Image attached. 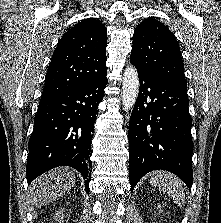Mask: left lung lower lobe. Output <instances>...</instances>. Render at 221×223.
I'll list each match as a JSON object with an SVG mask.
<instances>
[{"label": "left lung lower lobe", "mask_w": 221, "mask_h": 223, "mask_svg": "<svg viewBox=\"0 0 221 223\" xmlns=\"http://www.w3.org/2000/svg\"><path fill=\"white\" fill-rule=\"evenodd\" d=\"M137 71L140 89L128 135L131 190L158 169L176 174L190 188L193 142L187 86Z\"/></svg>", "instance_id": "1"}]
</instances>
